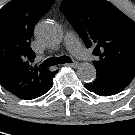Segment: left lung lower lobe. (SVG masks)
<instances>
[{"label": "left lung lower lobe", "mask_w": 135, "mask_h": 135, "mask_svg": "<svg viewBox=\"0 0 135 135\" xmlns=\"http://www.w3.org/2000/svg\"><path fill=\"white\" fill-rule=\"evenodd\" d=\"M84 87L99 96L115 95L125 89L124 87L108 83L100 78H96L93 82L84 84Z\"/></svg>", "instance_id": "1"}]
</instances>
